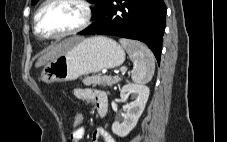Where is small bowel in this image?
<instances>
[{
	"label": "small bowel",
	"mask_w": 227,
	"mask_h": 142,
	"mask_svg": "<svg viewBox=\"0 0 227 142\" xmlns=\"http://www.w3.org/2000/svg\"><path fill=\"white\" fill-rule=\"evenodd\" d=\"M74 96L85 102L92 103L96 106L97 110L107 104V95L104 91L94 88H77L74 90ZM85 128H81L78 131H72L69 135L70 142H80L84 136ZM102 139L103 142H116L115 139L103 128H97L92 134V142H99Z\"/></svg>",
	"instance_id": "c3829d8e"
}]
</instances>
